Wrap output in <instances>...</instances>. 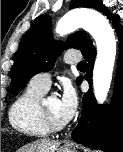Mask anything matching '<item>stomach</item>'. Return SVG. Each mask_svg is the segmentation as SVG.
<instances>
[{
    "instance_id": "0dacf381",
    "label": "stomach",
    "mask_w": 123,
    "mask_h": 152,
    "mask_svg": "<svg viewBox=\"0 0 123 152\" xmlns=\"http://www.w3.org/2000/svg\"><path fill=\"white\" fill-rule=\"evenodd\" d=\"M57 152H73V151L69 147H62V148L58 149Z\"/></svg>"
}]
</instances>
